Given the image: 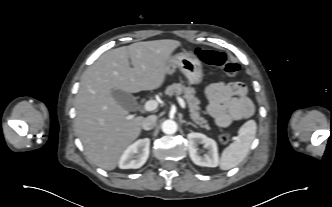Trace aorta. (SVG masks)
Returning <instances> with one entry per match:
<instances>
[{
  "label": "aorta",
  "mask_w": 332,
  "mask_h": 207,
  "mask_svg": "<svg viewBox=\"0 0 332 207\" xmlns=\"http://www.w3.org/2000/svg\"><path fill=\"white\" fill-rule=\"evenodd\" d=\"M162 131L165 134H174L177 131V123L171 119L165 120L162 123Z\"/></svg>",
  "instance_id": "762f6f07"
}]
</instances>
